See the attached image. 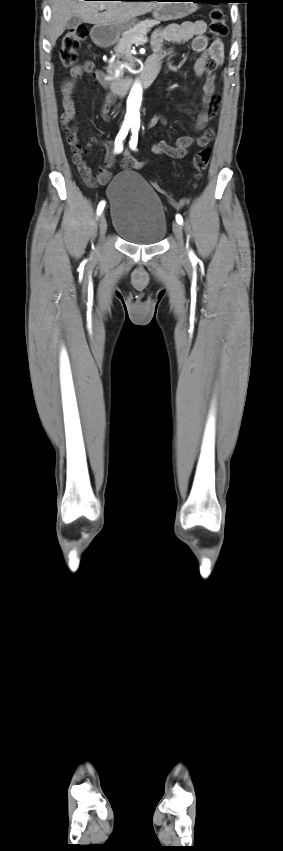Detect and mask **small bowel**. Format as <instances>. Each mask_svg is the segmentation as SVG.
<instances>
[{"instance_id":"small-bowel-1","label":"small bowel","mask_w":283,"mask_h":851,"mask_svg":"<svg viewBox=\"0 0 283 851\" xmlns=\"http://www.w3.org/2000/svg\"><path fill=\"white\" fill-rule=\"evenodd\" d=\"M205 32L206 23L204 21L189 20L180 24L171 23L161 27L153 33L152 37L154 55L151 58L158 59L160 62L165 55L166 42H190L192 50L200 53L195 60L194 70L197 76H205V83L203 86L204 94L202 98L203 109L196 118V128L198 130H202L217 111L219 99L213 98L215 91L214 71L218 65L222 64L224 59L223 42L221 40H215L208 45V38ZM84 74L92 75L94 79L101 84L102 89H108V94L105 96L101 105V113L104 119L107 120L109 117L111 107L114 103L113 95L116 91L114 88H110L111 83L108 80V77L100 70H97L92 61H85L84 63L71 68L70 78L65 81L62 86V100L65 112L61 117V123L65 127L75 119L76 109L72 94L77 84V80ZM163 121V118L160 115H157L150 120L148 126L152 127ZM212 136L213 134L211 131L200 136H182L176 140L175 145H170L168 142L161 140L152 145V151L157 155H166L174 159H180L188 154L192 145L196 144L198 146H206L211 141ZM66 139L71 146L73 163L76 165L85 183L90 186L95 184H106L111 177L109 169L115 164L114 154L111 151H108L105 156L104 166L99 169L96 175H93L90 167L83 159V148L80 145L77 129L75 127L66 129ZM96 144H102L107 148H110L112 145L109 140L92 138L87 147H91ZM147 163L148 161H138L128 152H125L121 161V166L124 169L140 168Z\"/></svg>"}]
</instances>
